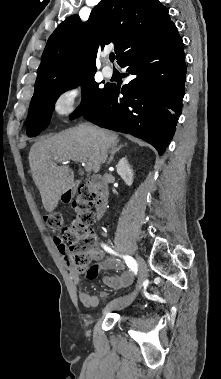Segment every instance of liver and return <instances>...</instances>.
Here are the masks:
<instances>
[{
  "label": "liver",
  "mask_w": 221,
  "mask_h": 379,
  "mask_svg": "<svg viewBox=\"0 0 221 379\" xmlns=\"http://www.w3.org/2000/svg\"><path fill=\"white\" fill-rule=\"evenodd\" d=\"M74 127L35 142L29 152L33 180L40 191L47 212H52L67 190L73 187L74 177L67 165L55 161L77 159L90 162L95 173L101 168L102 151L119 142L115 132L92 127Z\"/></svg>",
  "instance_id": "1"
}]
</instances>
